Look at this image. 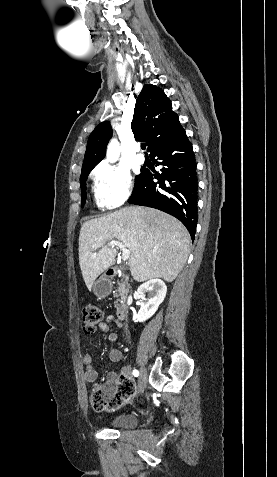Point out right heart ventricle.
I'll return each instance as SVG.
<instances>
[{"instance_id": "e07e8e85", "label": "right heart ventricle", "mask_w": 277, "mask_h": 477, "mask_svg": "<svg viewBox=\"0 0 277 477\" xmlns=\"http://www.w3.org/2000/svg\"><path fill=\"white\" fill-rule=\"evenodd\" d=\"M96 202L100 207H104V205L99 201L97 194H96Z\"/></svg>"}]
</instances>
